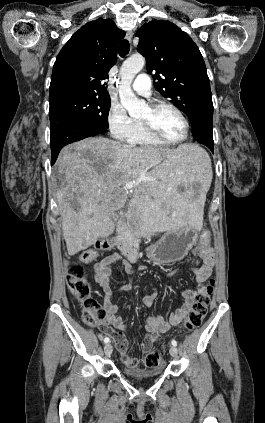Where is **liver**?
<instances>
[{"instance_id": "1", "label": "liver", "mask_w": 265, "mask_h": 423, "mask_svg": "<svg viewBox=\"0 0 265 423\" xmlns=\"http://www.w3.org/2000/svg\"><path fill=\"white\" fill-rule=\"evenodd\" d=\"M210 159L191 144L176 149L132 147L104 137L87 138L61 151L57 160L62 187L57 192L62 230L69 255L93 245L115 230L112 217L128 198L125 184L137 182L131 206L151 231L199 230L202 212L189 191L209 181Z\"/></svg>"}]
</instances>
